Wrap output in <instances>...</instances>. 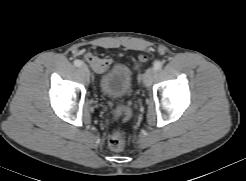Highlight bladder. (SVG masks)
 <instances>
[{
    "label": "bladder",
    "instance_id": "31cf9c89",
    "mask_svg": "<svg viewBox=\"0 0 246 181\" xmlns=\"http://www.w3.org/2000/svg\"><path fill=\"white\" fill-rule=\"evenodd\" d=\"M132 85V72L122 63L111 66L99 79L101 93L112 99H121L127 96L132 90Z\"/></svg>",
    "mask_w": 246,
    "mask_h": 181
}]
</instances>
